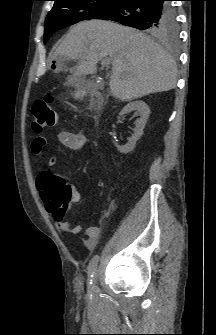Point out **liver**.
Returning <instances> with one entry per match:
<instances>
[{
  "mask_svg": "<svg viewBox=\"0 0 216 335\" xmlns=\"http://www.w3.org/2000/svg\"><path fill=\"white\" fill-rule=\"evenodd\" d=\"M109 56L112 95L131 101L176 86L177 67L159 44L136 29L104 20L77 23L54 52L53 59L78 60L68 85L79 86L96 73L100 59Z\"/></svg>",
  "mask_w": 216,
  "mask_h": 335,
  "instance_id": "6515ba94",
  "label": "liver"
}]
</instances>
